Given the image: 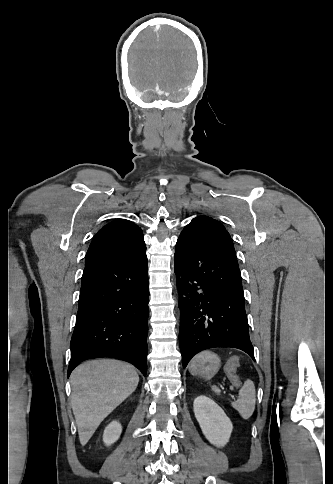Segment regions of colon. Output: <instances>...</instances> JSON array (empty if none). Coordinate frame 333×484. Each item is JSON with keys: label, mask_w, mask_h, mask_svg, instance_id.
I'll return each instance as SVG.
<instances>
[{"label": "colon", "mask_w": 333, "mask_h": 484, "mask_svg": "<svg viewBox=\"0 0 333 484\" xmlns=\"http://www.w3.org/2000/svg\"><path fill=\"white\" fill-rule=\"evenodd\" d=\"M237 367L238 363L236 360L230 361L226 367L227 377L231 385L235 388H239L241 386V380L237 375Z\"/></svg>", "instance_id": "colon-1"}]
</instances>
